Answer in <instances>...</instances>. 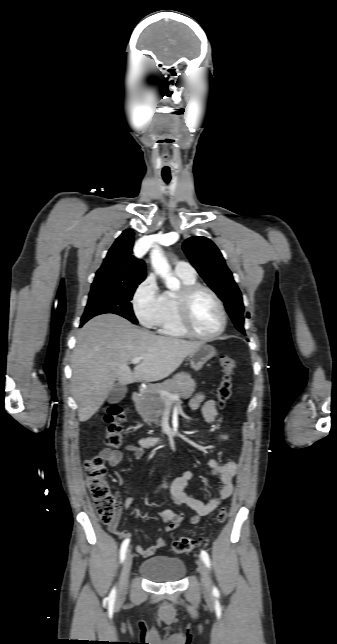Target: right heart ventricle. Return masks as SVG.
Instances as JSON below:
<instances>
[{
  "mask_svg": "<svg viewBox=\"0 0 337 644\" xmlns=\"http://www.w3.org/2000/svg\"><path fill=\"white\" fill-rule=\"evenodd\" d=\"M182 282L183 287L197 283L195 275L176 273ZM179 292L165 291L162 294V307L157 324V331L165 336L174 338L187 337V333L181 327L177 315V295Z\"/></svg>",
  "mask_w": 337,
  "mask_h": 644,
  "instance_id": "e07e8e85",
  "label": "right heart ventricle"
}]
</instances>
